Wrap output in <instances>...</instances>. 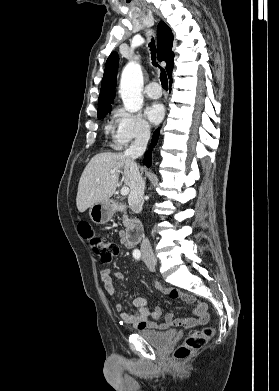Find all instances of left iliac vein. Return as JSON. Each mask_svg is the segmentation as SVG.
Returning a JSON list of instances; mask_svg holds the SVG:
<instances>
[{
	"mask_svg": "<svg viewBox=\"0 0 279 391\" xmlns=\"http://www.w3.org/2000/svg\"><path fill=\"white\" fill-rule=\"evenodd\" d=\"M147 266H148V268H149V270H150L151 272H154V271H155V267L149 266V265H147Z\"/></svg>",
	"mask_w": 279,
	"mask_h": 391,
	"instance_id": "1",
	"label": "left iliac vein"
}]
</instances>
